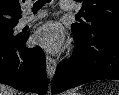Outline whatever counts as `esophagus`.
I'll list each match as a JSON object with an SVG mask.
<instances>
[{"mask_svg":"<svg viewBox=\"0 0 119 95\" xmlns=\"http://www.w3.org/2000/svg\"><path fill=\"white\" fill-rule=\"evenodd\" d=\"M57 67V62L54 58L47 55L46 56V69H47V75L50 80L54 77L55 71Z\"/></svg>","mask_w":119,"mask_h":95,"instance_id":"34e87169","label":"esophagus"}]
</instances>
